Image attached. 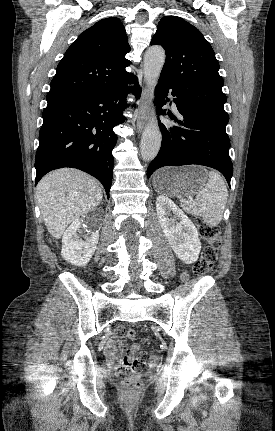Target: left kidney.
<instances>
[{
    "label": "left kidney",
    "mask_w": 275,
    "mask_h": 431,
    "mask_svg": "<svg viewBox=\"0 0 275 431\" xmlns=\"http://www.w3.org/2000/svg\"><path fill=\"white\" fill-rule=\"evenodd\" d=\"M156 211L159 223L176 256L186 264L195 262L199 257L201 242L192 221L164 195L157 197ZM171 213L175 215L173 219L169 218Z\"/></svg>",
    "instance_id": "obj_1"
}]
</instances>
